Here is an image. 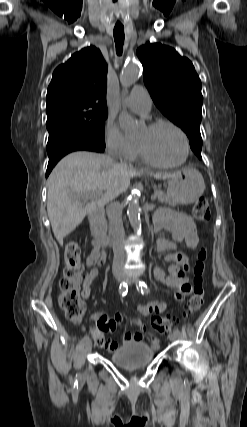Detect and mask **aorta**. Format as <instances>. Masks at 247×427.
Segmentation results:
<instances>
[{"label":"aorta","instance_id":"aorta-1","mask_svg":"<svg viewBox=\"0 0 247 427\" xmlns=\"http://www.w3.org/2000/svg\"><path fill=\"white\" fill-rule=\"evenodd\" d=\"M139 70V65L136 61H129L123 67L120 74V82L122 86L127 88L133 85L138 79ZM119 125L128 137L137 135L140 130L138 122L126 112H122L119 115ZM140 215L141 208L139 205V196L134 193L131 195L128 202L127 216L134 232L136 233L141 232L142 222Z\"/></svg>","mask_w":247,"mask_h":427}]
</instances>
